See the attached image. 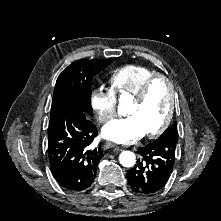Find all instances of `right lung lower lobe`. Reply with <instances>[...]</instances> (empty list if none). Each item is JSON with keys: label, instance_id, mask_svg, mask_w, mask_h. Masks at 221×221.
Masks as SVG:
<instances>
[{"label": "right lung lower lobe", "instance_id": "98d812e1", "mask_svg": "<svg viewBox=\"0 0 221 221\" xmlns=\"http://www.w3.org/2000/svg\"><path fill=\"white\" fill-rule=\"evenodd\" d=\"M97 129L88 115L74 106L62 107L50 116L48 156L52 174L63 188L82 191L93 182L103 157L92 142Z\"/></svg>", "mask_w": 221, "mask_h": 221}]
</instances>
